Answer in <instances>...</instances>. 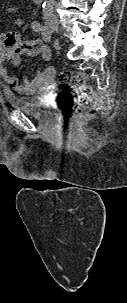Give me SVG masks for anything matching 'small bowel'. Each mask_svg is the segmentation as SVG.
Segmentation results:
<instances>
[{"mask_svg": "<svg viewBox=\"0 0 127 303\" xmlns=\"http://www.w3.org/2000/svg\"><path fill=\"white\" fill-rule=\"evenodd\" d=\"M38 1L34 0V2ZM13 24L19 27L23 24V21L17 19ZM30 28L37 36L32 40H24L21 34L16 31L0 34V77L6 85L19 94H32L37 89L51 88L55 72L52 67H48L44 72H37L33 80L23 77L22 81H20L15 75L9 73L6 68L5 64L7 62H11L15 66L19 65L21 55L39 57L44 61H48L51 58V51L43 39L44 26L34 21L31 23ZM10 38L15 41H8Z\"/></svg>", "mask_w": 127, "mask_h": 303, "instance_id": "1", "label": "small bowel"}]
</instances>
